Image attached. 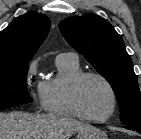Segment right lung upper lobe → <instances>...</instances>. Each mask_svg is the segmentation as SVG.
I'll list each match as a JSON object with an SVG mask.
<instances>
[{
    "label": "right lung upper lobe",
    "instance_id": "right-lung-upper-lobe-1",
    "mask_svg": "<svg viewBox=\"0 0 141 139\" xmlns=\"http://www.w3.org/2000/svg\"><path fill=\"white\" fill-rule=\"evenodd\" d=\"M50 28L47 16L33 11L14 19L0 33V65L28 63Z\"/></svg>",
    "mask_w": 141,
    "mask_h": 139
}]
</instances>
